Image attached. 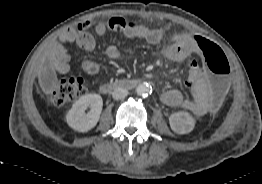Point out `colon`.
<instances>
[{
	"label": "colon",
	"mask_w": 262,
	"mask_h": 184,
	"mask_svg": "<svg viewBox=\"0 0 262 184\" xmlns=\"http://www.w3.org/2000/svg\"><path fill=\"white\" fill-rule=\"evenodd\" d=\"M114 32H125L136 25L123 18L115 17L102 23ZM200 64L208 72L206 79L208 100L213 111H219L224 104L228 88L230 64L223 50L213 42L199 37L196 39ZM86 91L82 78L71 77L60 80L51 91V101L56 106H65L77 100Z\"/></svg>",
	"instance_id": "colon-1"
}]
</instances>
